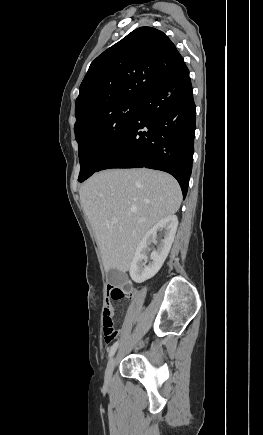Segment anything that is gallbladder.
<instances>
[{
    "instance_id": "1",
    "label": "gallbladder",
    "mask_w": 263,
    "mask_h": 435,
    "mask_svg": "<svg viewBox=\"0 0 263 435\" xmlns=\"http://www.w3.org/2000/svg\"><path fill=\"white\" fill-rule=\"evenodd\" d=\"M107 281L113 286L123 285L126 281V275L124 272H121L116 269H110L107 272Z\"/></svg>"
}]
</instances>
